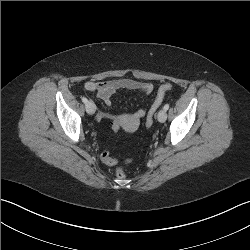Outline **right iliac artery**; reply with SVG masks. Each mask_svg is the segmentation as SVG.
Returning <instances> with one entry per match:
<instances>
[{"label": "right iliac artery", "mask_w": 250, "mask_h": 250, "mask_svg": "<svg viewBox=\"0 0 250 250\" xmlns=\"http://www.w3.org/2000/svg\"><path fill=\"white\" fill-rule=\"evenodd\" d=\"M82 101L86 104L88 102L87 98L83 97Z\"/></svg>", "instance_id": "obj_1"}]
</instances>
